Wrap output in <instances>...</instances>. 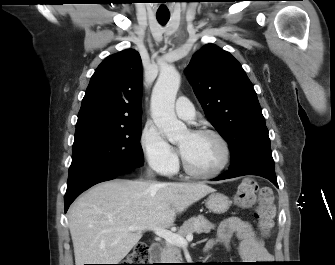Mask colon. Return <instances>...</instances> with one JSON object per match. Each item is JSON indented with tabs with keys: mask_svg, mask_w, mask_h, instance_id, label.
Returning <instances> with one entry per match:
<instances>
[{
	"mask_svg": "<svg viewBox=\"0 0 335 265\" xmlns=\"http://www.w3.org/2000/svg\"><path fill=\"white\" fill-rule=\"evenodd\" d=\"M236 203L244 208L256 204L255 215L258 227L263 235H268L273 227L276 215L273 192L269 187L260 186L253 178L244 179L236 193ZM149 248L144 244H138L122 265H148Z\"/></svg>",
	"mask_w": 335,
	"mask_h": 265,
	"instance_id": "colon-1",
	"label": "colon"
}]
</instances>
